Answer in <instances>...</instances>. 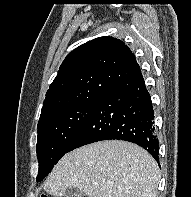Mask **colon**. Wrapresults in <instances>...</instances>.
<instances>
[{
  "instance_id": "colon-1",
  "label": "colon",
  "mask_w": 191,
  "mask_h": 197,
  "mask_svg": "<svg viewBox=\"0 0 191 197\" xmlns=\"http://www.w3.org/2000/svg\"><path fill=\"white\" fill-rule=\"evenodd\" d=\"M40 197H48L47 195H45V194H43V195H41Z\"/></svg>"
}]
</instances>
